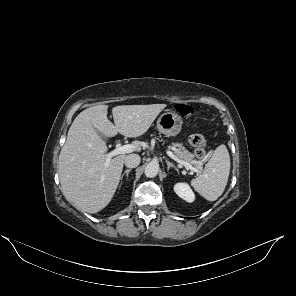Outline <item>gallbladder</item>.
I'll return each mask as SVG.
<instances>
[{
    "mask_svg": "<svg viewBox=\"0 0 296 296\" xmlns=\"http://www.w3.org/2000/svg\"><path fill=\"white\" fill-rule=\"evenodd\" d=\"M98 134L100 135V137L103 139V140H106L107 137L105 135H103L102 133L98 132Z\"/></svg>",
    "mask_w": 296,
    "mask_h": 296,
    "instance_id": "1",
    "label": "gallbladder"
}]
</instances>
